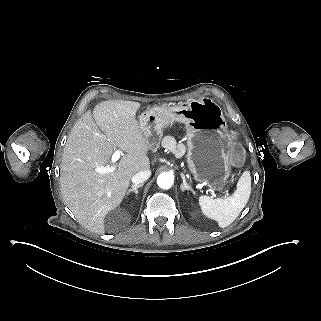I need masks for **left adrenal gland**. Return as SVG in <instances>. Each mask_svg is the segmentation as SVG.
Returning <instances> with one entry per match:
<instances>
[{
	"mask_svg": "<svg viewBox=\"0 0 321 321\" xmlns=\"http://www.w3.org/2000/svg\"><path fill=\"white\" fill-rule=\"evenodd\" d=\"M181 178L183 180V184L181 186L182 192L190 191L192 194H195V192L187 185L186 178H185V176L183 174H181Z\"/></svg>",
	"mask_w": 321,
	"mask_h": 321,
	"instance_id": "a2214340",
	"label": "left adrenal gland"
}]
</instances>
